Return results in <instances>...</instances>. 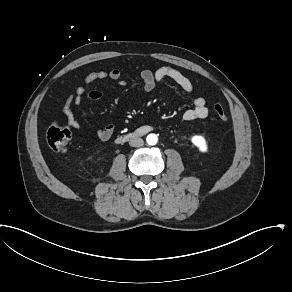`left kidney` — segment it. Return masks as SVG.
Returning a JSON list of instances; mask_svg holds the SVG:
<instances>
[{
  "mask_svg": "<svg viewBox=\"0 0 292 292\" xmlns=\"http://www.w3.org/2000/svg\"><path fill=\"white\" fill-rule=\"evenodd\" d=\"M192 143L197 146L201 152H207V144L202 136L192 137Z\"/></svg>",
  "mask_w": 292,
  "mask_h": 292,
  "instance_id": "1",
  "label": "left kidney"
}]
</instances>
